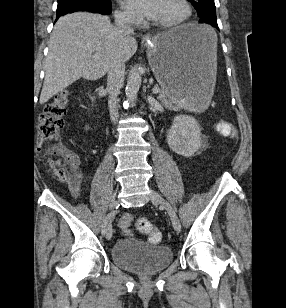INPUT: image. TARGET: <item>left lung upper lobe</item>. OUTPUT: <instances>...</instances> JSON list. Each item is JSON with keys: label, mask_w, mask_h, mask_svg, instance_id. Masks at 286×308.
Segmentation results:
<instances>
[{"label": "left lung upper lobe", "mask_w": 286, "mask_h": 308, "mask_svg": "<svg viewBox=\"0 0 286 308\" xmlns=\"http://www.w3.org/2000/svg\"><path fill=\"white\" fill-rule=\"evenodd\" d=\"M197 10L198 16L203 17L209 13H215L216 7L214 0H188Z\"/></svg>", "instance_id": "5c2ea615"}]
</instances>
